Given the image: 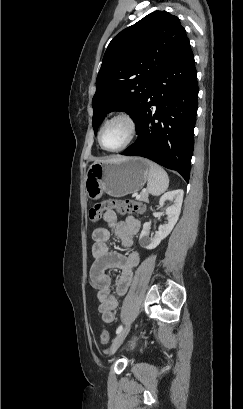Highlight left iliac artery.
<instances>
[{"label": "left iliac artery", "instance_id": "left-iliac-artery-1", "mask_svg": "<svg viewBox=\"0 0 243 409\" xmlns=\"http://www.w3.org/2000/svg\"><path fill=\"white\" fill-rule=\"evenodd\" d=\"M122 330H123V326L120 325L116 330V334H119Z\"/></svg>", "mask_w": 243, "mask_h": 409}]
</instances>
